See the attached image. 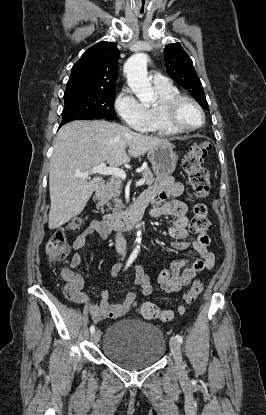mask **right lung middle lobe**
Returning <instances> with one entry per match:
<instances>
[{
    "mask_svg": "<svg viewBox=\"0 0 266 415\" xmlns=\"http://www.w3.org/2000/svg\"><path fill=\"white\" fill-rule=\"evenodd\" d=\"M115 89L113 90H75L65 92V107L62 120L72 119H116L113 108Z\"/></svg>",
    "mask_w": 266,
    "mask_h": 415,
    "instance_id": "dd1d6c3e",
    "label": "right lung middle lobe"
}]
</instances>
